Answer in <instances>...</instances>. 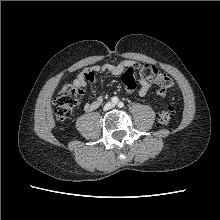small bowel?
Returning a JSON list of instances; mask_svg holds the SVG:
<instances>
[{
    "label": "small bowel",
    "mask_w": 220,
    "mask_h": 220,
    "mask_svg": "<svg viewBox=\"0 0 220 220\" xmlns=\"http://www.w3.org/2000/svg\"><path fill=\"white\" fill-rule=\"evenodd\" d=\"M133 65V61L130 60H122L116 64H106L103 66H94L89 70H85L81 72L76 79L74 80V84L80 88H84L87 83H93L95 81V75L97 73L105 72L112 75H119L123 72L126 67H130ZM150 89V84L148 81L141 79L139 82L138 94L140 96H145ZM128 90V89H127ZM129 92H133L134 90H128ZM103 103V97L101 95L97 96L93 101L88 102L84 106L85 112H92L99 108Z\"/></svg>",
    "instance_id": "obj_1"
}]
</instances>
